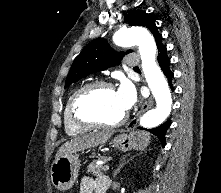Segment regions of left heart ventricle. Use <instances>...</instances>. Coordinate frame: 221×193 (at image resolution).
Returning <instances> with one entry per match:
<instances>
[{
    "mask_svg": "<svg viewBox=\"0 0 221 193\" xmlns=\"http://www.w3.org/2000/svg\"><path fill=\"white\" fill-rule=\"evenodd\" d=\"M80 114L104 122L120 119L125 111L122 109L114 89H97L86 96L80 104Z\"/></svg>",
    "mask_w": 221,
    "mask_h": 193,
    "instance_id": "left-heart-ventricle-1",
    "label": "left heart ventricle"
}]
</instances>
